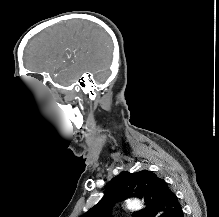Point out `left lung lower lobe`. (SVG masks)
<instances>
[{"mask_svg": "<svg viewBox=\"0 0 219 217\" xmlns=\"http://www.w3.org/2000/svg\"><path fill=\"white\" fill-rule=\"evenodd\" d=\"M173 217H184L181 206L178 208V210L176 211V213Z\"/></svg>", "mask_w": 219, "mask_h": 217, "instance_id": "obj_1", "label": "left lung lower lobe"}]
</instances>
